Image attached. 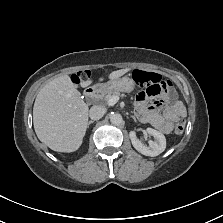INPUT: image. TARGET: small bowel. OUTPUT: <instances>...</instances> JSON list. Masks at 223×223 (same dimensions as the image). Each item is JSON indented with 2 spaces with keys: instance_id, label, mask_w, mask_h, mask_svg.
Wrapping results in <instances>:
<instances>
[{
  "instance_id": "obj_1",
  "label": "small bowel",
  "mask_w": 223,
  "mask_h": 223,
  "mask_svg": "<svg viewBox=\"0 0 223 223\" xmlns=\"http://www.w3.org/2000/svg\"><path fill=\"white\" fill-rule=\"evenodd\" d=\"M150 98H156V100L150 102ZM135 108L142 121L151 124L163 133H170L177 117L186 113L185 106L177 101L171 83L167 80L163 84L139 92L135 98Z\"/></svg>"
}]
</instances>
